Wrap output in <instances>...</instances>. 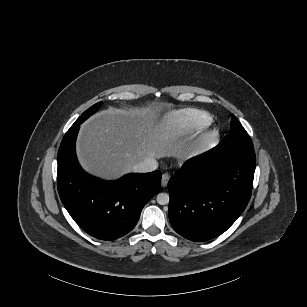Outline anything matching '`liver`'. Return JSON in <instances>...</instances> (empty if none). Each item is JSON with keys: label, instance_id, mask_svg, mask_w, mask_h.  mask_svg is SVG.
I'll list each match as a JSON object with an SVG mask.
<instances>
[{"label": "liver", "instance_id": "1", "mask_svg": "<svg viewBox=\"0 0 307 307\" xmlns=\"http://www.w3.org/2000/svg\"><path fill=\"white\" fill-rule=\"evenodd\" d=\"M173 104L114 108L98 112L80 130L77 155L89 173L116 179L131 172L147 158L175 156L185 142L166 139L162 126L155 122L164 108Z\"/></svg>", "mask_w": 307, "mask_h": 307}]
</instances>
